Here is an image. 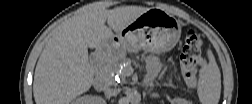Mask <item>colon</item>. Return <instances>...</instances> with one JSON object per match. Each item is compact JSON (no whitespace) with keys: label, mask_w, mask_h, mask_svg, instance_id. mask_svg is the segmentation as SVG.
Wrapping results in <instances>:
<instances>
[{"label":"colon","mask_w":252,"mask_h":104,"mask_svg":"<svg viewBox=\"0 0 252 104\" xmlns=\"http://www.w3.org/2000/svg\"><path fill=\"white\" fill-rule=\"evenodd\" d=\"M202 40L194 29H188L184 35L181 66L183 76L190 86L197 83V65L203 62L201 57Z\"/></svg>","instance_id":"1"}]
</instances>
